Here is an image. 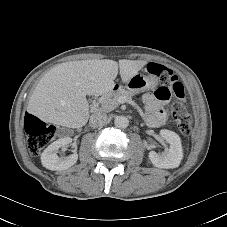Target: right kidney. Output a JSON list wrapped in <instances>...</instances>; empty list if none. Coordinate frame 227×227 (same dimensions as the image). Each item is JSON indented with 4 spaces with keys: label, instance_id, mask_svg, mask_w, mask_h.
<instances>
[{
    "label": "right kidney",
    "instance_id": "ca27d5eb",
    "mask_svg": "<svg viewBox=\"0 0 227 227\" xmlns=\"http://www.w3.org/2000/svg\"><path fill=\"white\" fill-rule=\"evenodd\" d=\"M72 142L70 137L60 138L51 143L42 153V165L49 170H65L73 166L78 159V154L74 152L67 157H59L58 150Z\"/></svg>",
    "mask_w": 227,
    "mask_h": 227
}]
</instances>
